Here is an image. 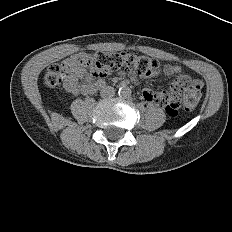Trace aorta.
I'll return each mask as SVG.
<instances>
[{"label": "aorta", "instance_id": "obj_1", "mask_svg": "<svg viewBox=\"0 0 232 232\" xmlns=\"http://www.w3.org/2000/svg\"><path fill=\"white\" fill-rule=\"evenodd\" d=\"M131 93V88L128 86H121L118 91L119 96L124 98L131 96Z\"/></svg>", "mask_w": 232, "mask_h": 232}]
</instances>
